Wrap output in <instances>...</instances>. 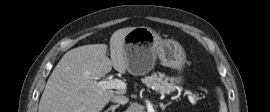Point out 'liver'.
Returning <instances> with one entry per match:
<instances>
[{
  "label": "liver",
  "instance_id": "1",
  "mask_svg": "<svg viewBox=\"0 0 270 112\" xmlns=\"http://www.w3.org/2000/svg\"><path fill=\"white\" fill-rule=\"evenodd\" d=\"M134 29L116 30L110 38V59L106 44H90L69 50L52 71L39 102V112H100L114 95L125 90L102 89L98 80L113 68L125 73V36Z\"/></svg>",
  "mask_w": 270,
  "mask_h": 112
}]
</instances>
